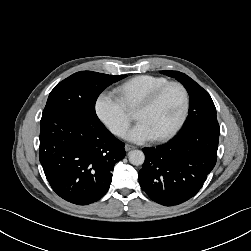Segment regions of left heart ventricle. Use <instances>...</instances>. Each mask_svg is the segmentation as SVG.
I'll use <instances>...</instances> for the list:
<instances>
[{"mask_svg":"<svg viewBox=\"0 0 251 251\" xmlns=\"http://www.w3.org/2000/svg\"><path fill=\"white\" fill-rule=\"evenodd\" d=\"M182 109L181 90L178 87H170L154 106L136 110L135 118L145 122L154 137H157L168 132L176 124Z\"/></svg>","mask_w":251,"mask_h":251,"instance_id":"left-heart-ventricle-1","label":"left heart ventricle"}]
</instances>
